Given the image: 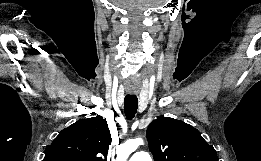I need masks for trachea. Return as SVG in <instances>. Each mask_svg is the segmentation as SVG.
I'll return each mask as SVG.
<instances>
[{"instance_id":"trachea-1","label":"trachea","mask_w":261,"mask_h":161,"mask_svg":"<svg viewBox=\"0 0 261 161\" xmlns=\"http://www.w3.org/2000/svg\"><path fill=\"white\" fill-rule=\"evenodd\" d=\"M138 108V98L135 95H127L124 100V111L128 120L134 118Z\"/></svg>"}]
</instances>
